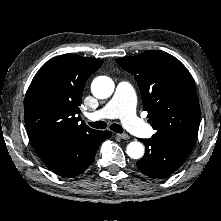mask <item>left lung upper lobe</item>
<instances>
[{"instance_id":"obj_1","label":"left lung upper lobe","mask_w":221,"mask_h":221,"mask_svg":"<svg viewBox=\"0 0 221 221\" xmlns=\"http://www.w3.org/2000/svg\"><path fill=\"white\" fill-rule=\"evenodd\" d=\"M116 62L135 76L148 121L156 130L153 136L171 137L194 145L200 106L187 68L172 55L157 50L116 59Z\"/></svg>"}]
</instances>
